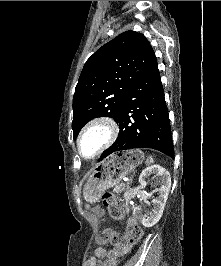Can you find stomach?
<instances>
[{"label":"stomach","instance_id":"1","mask_svg":"<svg viewBox=\"0 0 221 266\" xmlns=\"http://www.w3.org/2000/svg\"><path fill=\"white\" fill-rule=\"evenodd\" d=\"M144 160L140 150L117 152L98 163L86 181L83 195L89 203L97 202L101 195L139 166Z\"/></svg>","mask_w":221,"mask_h":266}]
</instances>
